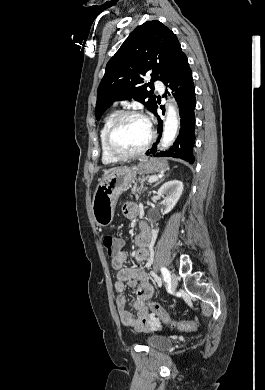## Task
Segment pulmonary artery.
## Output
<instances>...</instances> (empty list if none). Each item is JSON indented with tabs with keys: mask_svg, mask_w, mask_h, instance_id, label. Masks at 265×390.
<instances>
[{
	"mask_svg": "<svg viewBox=\"0 0 265 390\" xmlns=\"http://www.w3.org/2000/svg\"><path fill=\"white\" fill-rule=\"evenodd\" d=\"M155 88L158 91L162 92L164 90V84L161 81H156L155 82Z\"/></svg>",
	"mask_w": 265,
	"mask_h": 390,
	"instance_id": "obj_1",
	"label": "pulmonary artery"
}]
</instances>
